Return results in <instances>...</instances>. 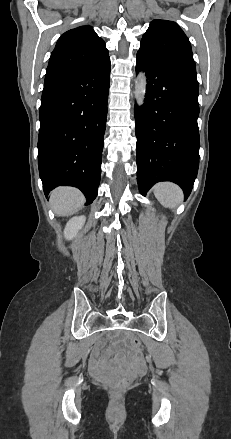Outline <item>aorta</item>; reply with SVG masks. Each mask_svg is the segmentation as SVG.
Wrapping results in <instances>:
<instances>
[{"mask_svg":"<svg viewBox=\"0 0 231 439\" xmlns=\"http://www.w3.org/2000/svg\"><path fill=\"white\" fill-rule=\"evenodd\" d=\"M146 76L144 72H139L137 78L135 80V99L138 105H142L144 103L145 94H146Z\"/></svg>","mask_w":231,"mask_h":439,"instance_id":"aorta-1","label":"aorta"}]
</instances>
